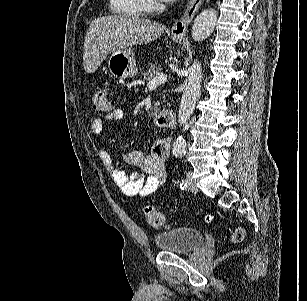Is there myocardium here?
Segmentation results:
<instances>
[{
	"mask_svg": "<svg viewBox=\"0 0 307 301\" xmlns=\"http://www.w3.org/2000/svg\"><path fill=\"white\" fill-rule=\"evenodd\" d=\"M152 12H164L159 4H155L151 9L145 14V17H152Z\"/></svg>",
	"mask_w": 307,
	"mask_h": 301,
	"instance_id": "obj_1",
	"label": "myocardium"
}]
</instances>
